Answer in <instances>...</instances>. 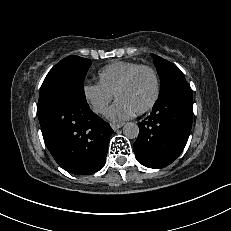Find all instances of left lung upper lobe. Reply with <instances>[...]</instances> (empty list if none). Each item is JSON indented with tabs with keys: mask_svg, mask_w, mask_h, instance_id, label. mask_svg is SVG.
<instances>
[{
	"mask_svg": "<svg viewBox=\"0 0 231 231\" xmlns=\"http://www.w3.org/2000/svg\"><path fill=\"white\" fill-rule=\"evenodd\" d=\"M151 56L160 77V92L175 82L186 81L183 73L176 65L155 54H151Z\"/></svg>",
	"mask_w": 231,
	"mask_h": 231,
	"instance_id": "obj_1",
	"label": "left lung upper lobe"
}]
</instances>
